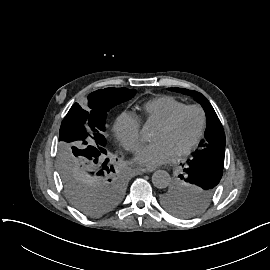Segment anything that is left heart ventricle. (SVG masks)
Segmentation results:
<instances>
[{"mask_svg": "<svg viewBox=\"0 0 270 270\" xmlns=\"http://www.w3.org/2000/svg\"><path fill=\"white\" fill-rule=\"evenodd\" d=\"M199 121V114L196 111H188L173 128L167 129L160 125L154 134L153 141H167L177 153L194 139L199 128Z\"/></svg>", "mask_w": 270, "mask_h": 270, "instance_id": "left-heart-ventricle-1", "label": "left heart ventricle"}]
</instances>
